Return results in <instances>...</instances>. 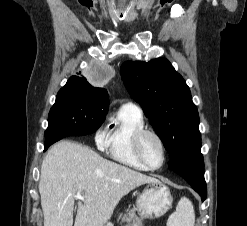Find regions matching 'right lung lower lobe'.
I'll return each instance as SVG.
<instances>
[{
	"label": "right lung lower lobe",
	"instance_id": "98d812e1",
	"mask_svg": "<svg viewBox=\"0 0 247 226\" xmlns=\"http://www.w3.org/2000/svg\"><path fill=\"white\" fill-rule=\"evenodd\" d=\"M56 141H58V140H57V139H46L45 145H44L45 150H46L51 144H53V143L56 142Z\"/></svg>",
	"mask_w": 247,
	"mask_h": 226
}]
</instances>
